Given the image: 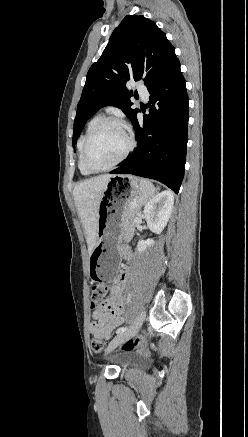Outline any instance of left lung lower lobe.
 <instances>
[{
    "label": "left lung lower lobe",
    "instance_id": "obj_1",
    "mask_svg": "<svg viewBox=\"0 0 248 437\" xmlns=\"http://www.w3.org/2000/svg\"><path fill=\"white\" fill-rule=\"evenodd\" d=\"M150 93L149 114L143 124L133 120L137 148L111 171L133 174L162 182L175 193L179 192L184 176L188 95L185 79L176 58L169 67L147 87Z\"/></svg>",
    "mask_w": 248,
    "mask_h": 437
}]
</instances>
